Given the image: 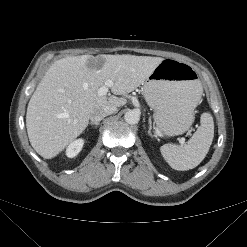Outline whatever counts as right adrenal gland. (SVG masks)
I'll list each match as a JSON object with an SVG mask.
<instances>
[{"mask_svg": "<svg viewBox=\"0 0 247 247\" xmlns=\"http://www.w3.org/2000/svg\"><path fill=\"white\" fill-rule=\"evenodd\" d=\"M89 125H95V126H98L99 123H94V122H90Z\"/></svg>", "mask_w": 247, "mask_h": 247, "instance_id": "1", "label": "right adrenal gland"}]
</instances>
